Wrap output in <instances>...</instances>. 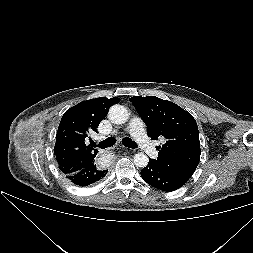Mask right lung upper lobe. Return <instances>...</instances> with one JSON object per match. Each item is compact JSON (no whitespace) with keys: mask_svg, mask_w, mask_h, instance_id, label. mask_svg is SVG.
Masks as SVG:
<instances>
[{"mask_svg":"<svg viewBox=\"0 0 253 253\" xmlns=\"http://www.w3.org/2000/svg\"><path fill=\"white\" fill-rule=\"evenodd\" d=\"M119 101L118 97H99L80 102L64 113L54 147L63 174H74L94 163L98 150L87 145L88 135L97 132V127L106 117L109 108Z\"/></svg>","mask_w":253,"mask_h":253,"instance_id":"cb5924a9","label":"right lung upper lobe"}]
</instances>
